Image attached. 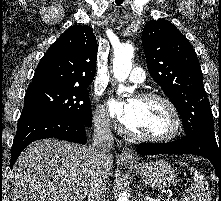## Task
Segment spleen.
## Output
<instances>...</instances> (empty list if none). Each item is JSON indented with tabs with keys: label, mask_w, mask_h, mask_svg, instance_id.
Segmentation results:
<instances>
[{
	"label": "spleen",
	"mask_w": 221,
	"mask_h": 201,
	"mask_svg": "<svg viewBox=\"0 0 221 201\" xmlns=\"http://www.w3.org/2000/svg\"><path fill=\"white\" fill-rule=\"evenodd\" d=\"M182 166H187L183 162H179ZM192 175V184L185 190L183 201H212L209 185L206 179L194 167L189 168Z\"/></svg>",
	"instance_id": "1"
}]
</instances>
